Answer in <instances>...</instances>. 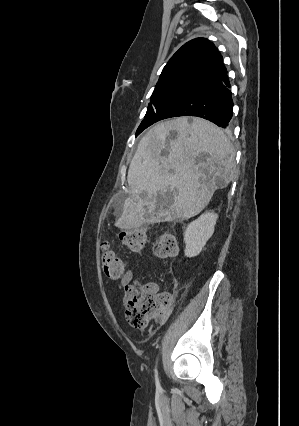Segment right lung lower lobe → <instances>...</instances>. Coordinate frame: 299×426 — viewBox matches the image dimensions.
Returning a JSON list of instances; mask_svg holds the SVG:
<instances>
[{"mask_svg":"<svg viewBox=\"0 0 299 426\" xmlns=\"http://www.w3.org/2000/svg\"><path fill=\"white\" fill-rule=\"evenodd\" d=\"M227 74L210 80L169 106L159 120L177 116H197L226 127L233 114V101Z\"/></svg>","mask_w":299,"mask_h":426,"instance_id":"obj_1","label":"right lung lower lobe"}]
</instances>
